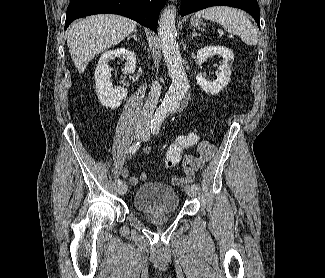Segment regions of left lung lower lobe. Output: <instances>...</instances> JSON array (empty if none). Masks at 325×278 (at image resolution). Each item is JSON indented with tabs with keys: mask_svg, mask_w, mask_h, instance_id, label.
<instances>
[{
	"mask_svg": "<svg viewBox=\"0 0 325 278\" xmlns=\"http://www.w3.org/2000/svg\"><path fill=\"white\" fill-rule=\"evenodd\" d=\"M230 6L248 12L260 28V9L257 0H182L180 15L184 16L211 6Z\"/></svg>",
	"mask_w": 325,
	"mask_h": 278,
	"instance_id": "0a47b994",
	"label": "left lung lower lobe"
}]
</instances>
